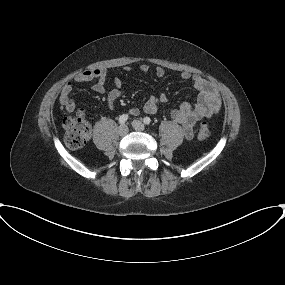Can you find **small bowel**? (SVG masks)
Instances as JSON below:
<instances>
[{
    "label": "small bowel",
    "instance_id": "obj_1",
    "mask_svg": "<svg viewBox=\"0 0 285 285\" xmlns=\"http://www.w3.org/2000/svg\"><path fill=\"white\" fill-rule=\"evenodd\" d=\"M129 71V67L124 68ZM141 71L147 73L149 66L142 65ZM154 74L161 78L165 75V70L162 67H156ZM181 78L186 81H191L193 87L197 91V101L193 105L189 102H183L179 108L168 109L170 116L179 122L184 131L185 138L190 140L194 136V131L197 123L203 118H210L218 113L221 108L222 101L217 88L205 78L194 75L189 72H182ZM90 80H96L92 86V90L99 94H106V101L110 108H113L115 102L122 95V82L118 77L114 78L115 87L107 90V72L103 69H91L78 74L73 81L67 82L61 89L59 102L68 111L73 112L76 109V102L70 97L73 89V84L82 83ZM168 98L164 93L157 96H151L145 103L143 111L147 114H154L159 109L160 103L167 102ZM78 113L83 114V111ZM129 113L136 116L140 113L138 108H132Z\"/></svg>",
    "mask_w": 285,
    "mask_h": 285
}]
</instances>
